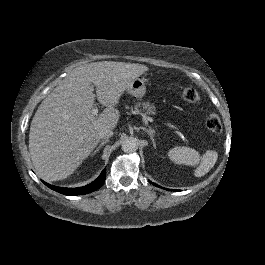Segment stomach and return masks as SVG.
<instances>
[{"mask_svg":"<svg viewBox=\"0 0 265 265\" xmlns=\"http://www.w3.org/2000/svg\"><path fill=\"white\" fill-rule=\"evenodd\" d=\"M124 91L135 97H142L145 94V83L142 79L135 77L131 82L127 83Z\"/></svg>","mask_w":265,"mask_h":265,"instance_id":"obj_1","label":"stomach"}]
</instances>
